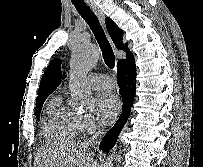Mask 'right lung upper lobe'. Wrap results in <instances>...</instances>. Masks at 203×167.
<instances>
[{
  "label": "right lung upper lobe",
  "instance_id": "cb5924a9",
  "mask_svg": "<svg viewBox=\"0 0 203 167\" xmlns=\"http://www.w3.org/2000/svg\"><path fill=\"white\" fill-rule=\"evenodd\" d=\"M106 27L110 37L112 38L115 46L118 49H122L126 52V58L119 60L117 63V69L121 68L125 64L134 61V56L128 48V44H123V31L110 19L106 18ZM61 61L59 59L52 60L47 69L45 70L40 82L38 96L36 103L43 101L49 96L60 84L61 80Z\"/></svg>",
  "mask_w": 203,
  "mask_h": 167
}]
</instances>
